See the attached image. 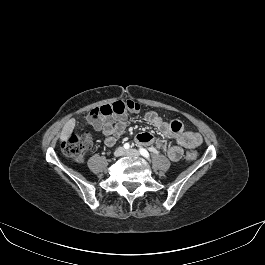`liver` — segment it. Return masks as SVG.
Here are the masks:
<instances>
[{"label": "liver", "instance_id": "6515ba94", "mask_svg": "<svg viewBox=\"0 0 265 265\" xmlns=\"http://www.w3.org/2000/svg\"><path fill=\"white\" fill-rule=\"evenodd\" d=\"M75 119L71 118L68 120L65 125L62 128L61 135H60V140L65 141L68 139V137L72 134L74 127H75Z\"/></svg>", "mask_w": 265, "mask_h": 265}]
</instances>
